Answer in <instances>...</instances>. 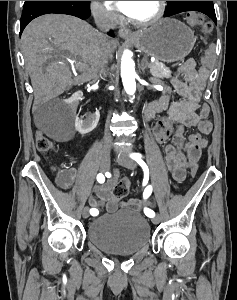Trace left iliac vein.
I'll use <instances>...</instances> for the list:
<instances>
[{
    "mask_svg": "<svg viewBox=\"0 0 237 300\" xmlns=\"http://www.w3.org/2000/svg\"><path fill=\"white\" fill-rule=\"evenodd\" d=\"M116 161L118 164H120L123 167L128 168V169H134L136 167V163L134 160H132L126 156H123V155L117 156ZM159 220H160V218H159V215L157 214L153 218V223L157 224V223H159Z\"/></svg>",
    "mask_w": 237,
    "mask_h": 300,
    "instance_id": "1",
    "label": "left iliac vein"
}]
</instances>
